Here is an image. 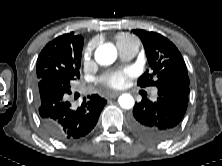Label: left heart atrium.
I'll use <instances>...</instances> for the list:
<instances>
[{
    "instance_id": "1",
    "label": "left heart atrium",
    "mask_w": 222,
    "mask_h": 166,
    "mask_svg": "<svg viewBox=\"0 0 222 166\" xmlns=\"http://www.w3.org/2000/svg\"><path fill=\"white\" fill-rule=\"evenodd\" d=\"M130 75H131V72L128 69L116 71L107 75L103 79V82L108 87L120 88L126 83V80L128 79V77H130Z\"/></svg>"
}]
</instances>
